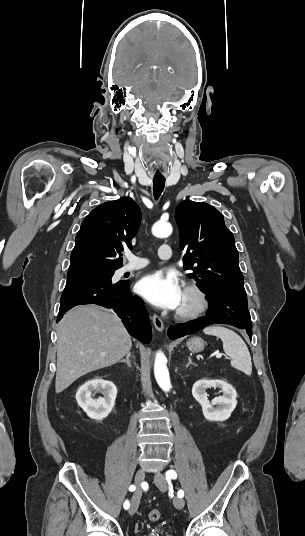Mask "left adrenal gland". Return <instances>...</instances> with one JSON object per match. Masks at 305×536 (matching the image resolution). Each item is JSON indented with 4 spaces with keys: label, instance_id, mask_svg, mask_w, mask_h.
Returning <instances> with one entry per match:
<instances>
[{
    "label": "left adrenal gland",
    "instance_id": "a2214340",
    "mask_svg": "<svg viewBox=\"0 0 305 536\" xmlns=\"http://www.w3.org/2000/svg\"><path fill=\"white\" fill-rule=\"evenodd\" d=\"M190 364H192L191 358H188V364H186V368H189Z\"/></svg>",
    "mask_w": 305,
    "mask_h": 536
}]
</instances>
